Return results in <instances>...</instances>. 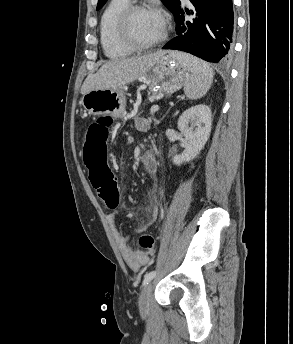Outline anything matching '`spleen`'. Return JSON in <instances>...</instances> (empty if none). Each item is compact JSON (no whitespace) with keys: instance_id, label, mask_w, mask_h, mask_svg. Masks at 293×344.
<instances>
[{"instance_id":"obj_1","label":"spleen","mask_w":293,"mask_h":344,"mask_svg":"<svg viewBox=\"0 0 293 344\" xmlns=\"http://www.w3.org/2000/svg\"><path fill=\"white\" fill-rule=\"evenodd\" d=\"M191 74L184 83V92L189 99H199L210 89L214 77L212 68L201 59L185 53L172 52Z\"/></svg>"}]
</instances>
